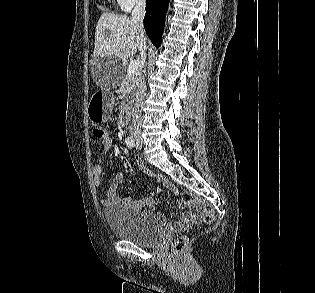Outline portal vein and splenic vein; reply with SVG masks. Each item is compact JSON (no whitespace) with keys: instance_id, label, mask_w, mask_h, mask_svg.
<instances>
[{"instance_id":"18ae733b","label":"portal vein and splenic vein","mask_w":315,"mask_h":293,"mask_svg":"<svg viewBox=\"0 0 315 293\" xmlns=\"http://www.w3.org/2000/svg\"><path fill=\"white\" fill-rule=\"evenodd\" d=\"M137 70H138V63L136 61H132L128 65L127 74L131 75V74L135 73Z\"/></svg>"}]
</instances>
